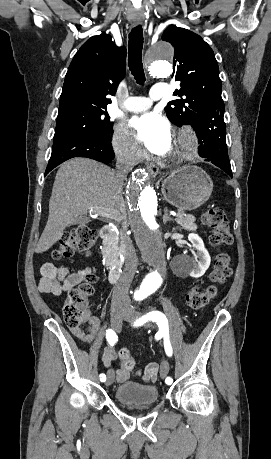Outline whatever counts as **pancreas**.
Returning a JSON list of instances; mask_svg holds the SVG:
<instances>
[{
    "label": "pancreas",
    "mask_w": 271,
    "mask_h": 459,
    "mask_svg": "<svg viewBox=\"0 0 271 459\" xmlns=\"http://www.w3.org/2000/svg\"><path fill=\"white\" fill-rule=\"evenodd\" d=\"M178 212H181L182 217H176L177 224H180V226H182L183 229H190V231H195V229H197L196 224H194L196 220L195 216H190V214L186 216L183 210H178ZM118 245H119V237L118 235H116V239H114L113 245H110V247H106V249H103L104 255H108V253H110L112 249H114L116 254H119L120 250L118 249Z\"/></svg>",
    "instance_id": "obj_1"
}]
</instances>
